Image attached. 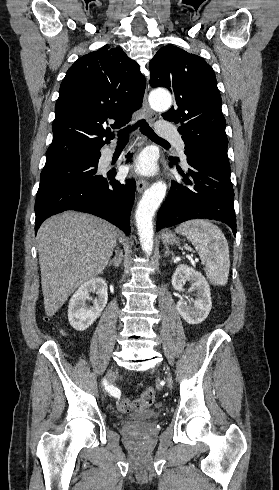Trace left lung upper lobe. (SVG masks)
Instances as JSON below:
<instances>
[{"mask_svg":"<svg viewBox=\"0 0 279 490\" xmlns=\"http://www.w3.org/2000/svg\"><path fill=\"white\" fill-rule=\"evenodd\" d=\"M149 68L150 85L174 93L176 106L162 116L180 123L185 154L208 152L228 161L222 99L213 69L203 58L172 45L162 47Z\"/></svg>","mask_w":279,"mask_h":490,"instance_id":"obj_1","label":"left lung upper lobe"}]
</instances>
